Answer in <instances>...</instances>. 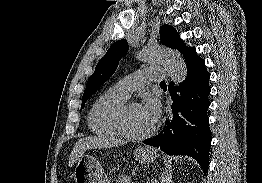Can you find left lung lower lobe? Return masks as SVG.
Segmentation results:
<instances>
[{"mask_svg": "<svg viewBox=\"0 0 262 183\" xmlns=\"http://www.w3.org/2000/svg\"><path fill=\"white\" fill-rule=\"evenodd\" d=\"M185 61L186 79L178 86H174L173 82L169 84L172 115L166 120L161 133L144 140V143L159 147L168 155H188L197 160L206 173L211 144L207 116L210 74L206 71L205 61L195 51Z\"/></svg>", "mask_w": 262, "mask_h": 183, "instance_id": "left-lung-lower-lobe-1", "label": "left lung lower lobe"}]
</instances>
